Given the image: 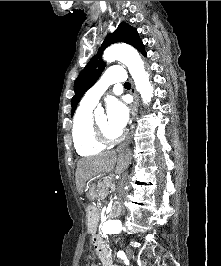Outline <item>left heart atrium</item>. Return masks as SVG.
Segmentation results:
<instances>
[{
  "label": "left heart atrium",
  "instance_id": "1",
  "mask_svg": "<svg viewBox=\"0 0 221 266\" xmlns=\"http://www.w3.org/2000/svg\"><path fill=\"white\" fill-rule=\"evenodd\" d=\"M107 118L112 128L122 131L128 122V109L119 99H110L107 103Z\"/></svg>",
  "mask_w": 221,
  "mask_h": 266
}]
</instances>
